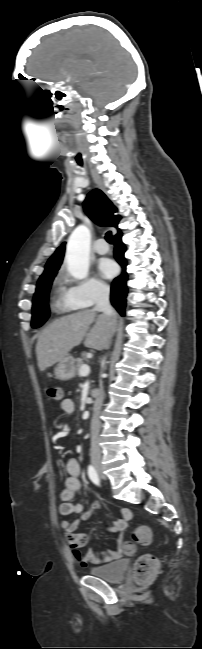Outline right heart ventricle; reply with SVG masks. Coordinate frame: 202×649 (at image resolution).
<instances>
[{
  "mask_svg": "<svg viewBox=\"0 0 202 649\" xmlns=\"http://www.w3.org/2000/svg\"><path fill=\"white\" fill-rule=\"evenodd\" d=\"M64 290L65 289L63 288V279L61 277H58L55 284V302H56V307L59 310H68L62 305V296Z\"/></svg>",
  "mask_w": 202,
  "mask_h": 649,
  "instance_id": "right-heart-ventricle-1",
  "label": "right heart ventricle"
}]
</instances>
